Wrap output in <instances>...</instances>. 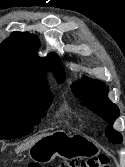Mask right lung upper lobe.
I'll use <instances>...</instances> for the list:
<instances>
[{
    "label": "right lung upper lobe",
    "mask_w": 125,
    "mask_h": 167,
    "mask_svg": "<svg viewBox=\"0 0 125 167\" xmlns=\"http://www.w3.org/2000/svg\"><path fill=\"white\" fill-rule=\"evenodd\" d=\"M38 38L27 32H13L0 46V93L16 97H31L47 91L43 68L54 71L63 81L65 73L55 54L41 59L36 55Z\"/></svg>",
    "instance_id": "cb5924a9"
}]
</instances>
